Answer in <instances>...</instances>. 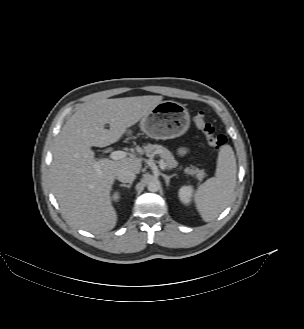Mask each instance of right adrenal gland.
Returning a JSON list of instances; mask_svg holds the SVG:
<instances>
[{
    "label": "right adrenal gland",
    "instance_id": "1",
    "mask_svg": "<svg viewBox=\"0 0 304 329\" xmlns=\"http://www.w3.org/2000/svg\"><path fill=\"white\" fill-rule=\"evenodd\" d=\"M132 183H129V184H120L119 186L120 187H127L128 189H130Z\"/></svg>",
    "mask_w": 304,
    "mask_h": 329
}]
</instances>
